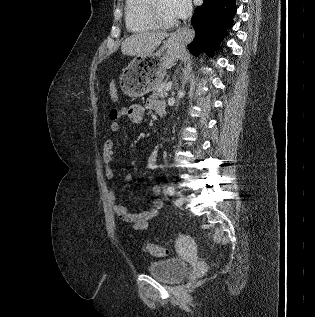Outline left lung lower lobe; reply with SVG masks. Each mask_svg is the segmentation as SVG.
Masks as SVG:
<instances>
[{
    "instance_id": "obj_1",
    "label": "left lung lower lobe",
    "mask_w": 315,
    "mask_h": 317,
    "mask_svg": "<svg viewBox=\"0 0 315 317\" xmlns=\"http://www.w3.org/2000/svg\"><path fill=\"white\" fill-rule=\"evenodd\" d=\"M236 13L235 0H204L202 6L195 9L191 24L196 36L188 49L193 55L201 50L218 47L220 38L227 27H231Z\"/></svg>"
}]
</instances>
